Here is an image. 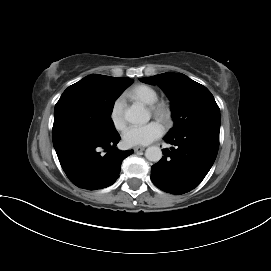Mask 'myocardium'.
Segmentation results:
<instances>
[{
    "label": "myocardium",
    "instance_id": "1",
    "mask_svg": "<svg viewBox=\"0 0 271 271\" xmlns=\"http://www.w3.org/2000/svg\"><path fill=\"white\" fill-rule=\"evenodd\" d=\"M152 114L164 123H169L171 120V109L163 102H156L150 106Z\"/></svg>",
    "mask_w": 271,
    "mask_h": 271
}]
</instances>
